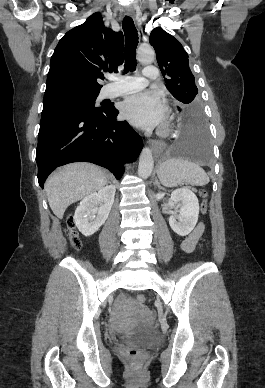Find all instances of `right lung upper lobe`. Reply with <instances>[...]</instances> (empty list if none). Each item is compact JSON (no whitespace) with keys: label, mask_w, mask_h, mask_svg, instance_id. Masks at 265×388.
I'll return each mask as SVG.
<instances>
[{"label":"right lung upper lobe","mask_w":265,"mask_h":388,"mask_svg":"<svg viewBox=\"0 0 265 388\" xmlns=\"http://www.w3.org/2000/svg\"><path fill=\"white\" fill-rule=\"evenodd\" d=\"M124 36L106 28L99 12L68 31L51 57L44 98L97 94L103 71L117 72L123 63Z\"/></svg>","instance_id":"cb5924a9"}]
</instances>
